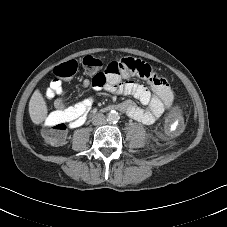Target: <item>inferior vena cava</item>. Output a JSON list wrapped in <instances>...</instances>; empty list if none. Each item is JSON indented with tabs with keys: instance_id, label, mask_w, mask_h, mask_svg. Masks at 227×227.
<instances>
[{
	"instance_id": "602c4592",
	"label": "inferior vena cava",
	"mask_w": 227,
	"mask_h": 227,
	"mask_svg": "<svg viewBox=\"0 0 227 227\" xmlns=\"http://www.w3.org/2000/svg\"><path fill=\"white\" fill-rule=\"evenodd\" d=\"M93 125H104L106 123V117L102 113H97L92 117Z\"/></svg>"
}]
</instances>
